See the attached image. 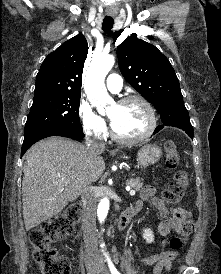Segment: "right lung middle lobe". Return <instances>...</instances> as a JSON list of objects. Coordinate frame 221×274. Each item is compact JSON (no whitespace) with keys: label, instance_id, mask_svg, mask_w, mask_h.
Wrapping results in <instances>:
<instances>
[{"label":"right lung middle lobe","instance_id":"1","mask_svg":"<svg viewBox=\"0 0 221 274\" xmlns=\"http://www.w3.org/2000/svg\"><path fill=\"white\" fill-rule=\"evenodd\" d=\"M80 94L46 96L33 100L24 135L48 127L83 132L79 119Z\"/></svg>","mask_w":221,"mask_h":274}]
</instances>
